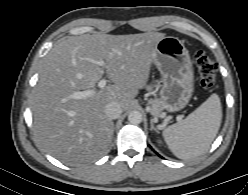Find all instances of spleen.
<instances>
[{
    "instance_id": "3e777b00",
    "label": "spleen",
    "mask_w": 248,
    "mask_h": 195,
    "mask_svg": "<svg viewBox=\"0 0 248 195\" xmlns=\"http://www.w3.org/2000/svg\"><path fill=\"white\" fill-rule=\"evenodd\" d=\"M221 120L220 98L212 94L185 119L164 129L163 137L176 157L193 159L208 151L218 133Z\"/></svg>"
}]
</instances>
